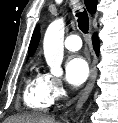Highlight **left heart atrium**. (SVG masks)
<instances>
[{
	"label": "left heart atrium",
	"instance_id": "39dd6f15",
	"mask_svg": "<svg viewBox=\"0 0 118 123\" xmlns=\"http://www.w3.org/2000/svg\"><path fill=\"white\" fill-rule=\"evenodd\" d=\"M66 80L74 87L85 82L89 75V66L81 56L71 57L65 65Z\"/></svg>",
	"mask_w": 118,
	"mask_h": 123
}]
</instances>
